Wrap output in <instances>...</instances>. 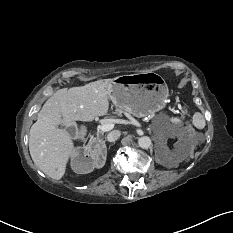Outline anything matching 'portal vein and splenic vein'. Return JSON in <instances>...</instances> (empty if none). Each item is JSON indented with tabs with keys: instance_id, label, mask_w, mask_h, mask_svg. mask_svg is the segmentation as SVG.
<instances>
[{
	"instance_id": "obj_1",
	"label": "portal vein and splenic vein",
	"mask_w": 233,
	"mask_h": 233,
	"mask_svg": "<svg viewBox=\"0 0 233 233\" xmlns=\"http://www.w3.org/2000/svg\"><path fill=\"white\" fill-rule=\"evenodd\" d=\"M114 127V124L112 123H107V124H102L98 126V130L102 132L110 131Z\"/></svg>"
}]
</instances>
